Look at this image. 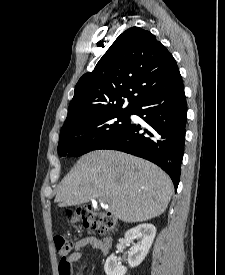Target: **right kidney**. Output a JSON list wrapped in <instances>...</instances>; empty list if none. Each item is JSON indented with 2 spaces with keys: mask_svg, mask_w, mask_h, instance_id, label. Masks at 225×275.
I'll list each match as a JSON object with an SVG mask.
<instances>
[{
  "mask_svg": "<svg viewBox=\"0 0 225 275\" xmlns=\"http://www.w3.org/2000/svg\"><path fill=\"white\" fill-rule=\"evenodd\" d=\"M156 235V228L152 224H140L125 233V239L133 246L128 254V264L134 268L142 263L152 246ZM134 239H138L136 244ZM106 275H125L127 268L121 265L117 257L111 254L104 265Z\"/></svg>",
  "mask_w": 225,
  "mask_h": 275,
  "instance_id": "ca27d5eb",
  "label": "right kidney"
}]
</instances>
